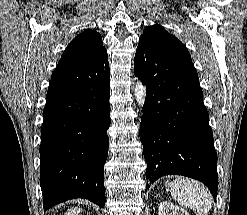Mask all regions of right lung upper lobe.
I'll list each match as a JSON object with an SVG mask.
<instances>
[{
    "label": "right lung upper lobe",
    "instance_id": "obj_1",
    "mask_svg": "<svg viewBox=\"0 0 247 215\" xmlns=\"http://www.w3.org/2000/svg\"><path fill=\"white\" fill-rule=\"evenodd\" d=\"M106 52L102 37L93 30L77 35L67 46L60 61L86 62Z\"/></svg>",
    "mask_w": 247,
    "mask_h": 215
}]
</instances>
